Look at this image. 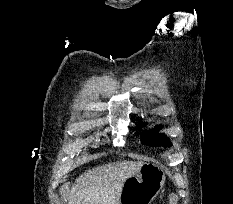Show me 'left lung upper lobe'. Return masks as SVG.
Masks as SVG:
<instances>
[{
    "mask_svg": "<svg viewBox=\"0 0 233 204\" xmlns=\"http://www.w3.org/2000/svg\"><path fill=\"white\" fill-rule=\"evenodd\" d=\"M140 126L142 127L144 126V124H141ZM158 130H159V127H156L155 129L142 133L143 144L150 145V146L162 145L164 147H170L171 144L168 138L166 137L163 138V134H157V135L154 134Z\"/></svg>",
    "mask_w": 233,
    "mask_h": 204,
    "instance_id": "5c2ea615",
    "label": "left lung upper lobe"
}]
</instances>
